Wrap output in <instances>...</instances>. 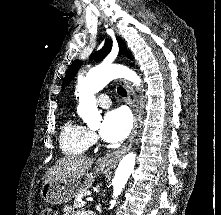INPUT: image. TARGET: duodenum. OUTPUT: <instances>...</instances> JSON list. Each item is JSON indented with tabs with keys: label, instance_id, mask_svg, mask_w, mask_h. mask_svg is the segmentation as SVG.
<instances>
[{
	"label": "duodenum",
	"instance_id": "1",
	"mask_svg": "<svg viewBox=\"0 0 221 215\" xmlns=\"http://www.w3.org/2000/svg\"><path fill=\"white\" fill-rule=\"evenodd\" d=\"M86 215H94V214H92V213H86Z\"/></svg>",
	"mask_w": 221,
	"mask_h": 215
}]
</instances>
